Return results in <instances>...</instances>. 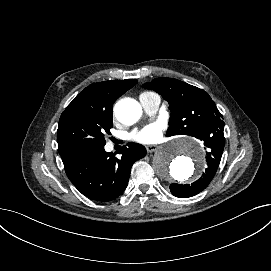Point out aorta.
<instances>
[{
    "instance_id": "1",
    "label": "aorta",
    "mask_w": 271,
    "mask_h": 271,
    "mask_svg": "<svg viewBox=\"0 0 271 271\" xmlns=\"http://www.w3.org/2000/svg\"><path fill=\"white\" fill-rule=\"evenodd\" d=\"M114 112L118 121L131 125L141 117L142 108L136 100L123 99L116 103ZM204 164L202 148L189 139H179L165 144L153 158L154 170L161 178L169 181L191 180Z\"/></svg>"
}]
</instances>
